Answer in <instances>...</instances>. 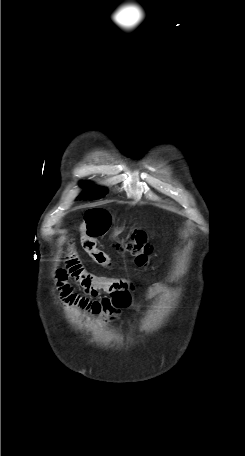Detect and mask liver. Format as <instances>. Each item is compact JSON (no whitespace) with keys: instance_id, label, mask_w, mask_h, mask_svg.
Instances as JSON below:
<instances>
[{"instance_id":"1","label":"liver","mask_w":245,"mask_h":456,"mask_svg":"<svg viewBox=\"0 0 245 456\" xmlns=\"http://www.w3.org/2000/svg\"><path fill=\"white\" fill-rule=\"evenodd\" d=\"M119 232H120V231H116V233H115V234H118Z\"/></svg>"}]
</instances>
